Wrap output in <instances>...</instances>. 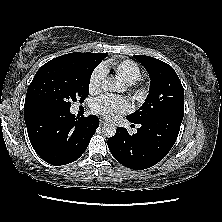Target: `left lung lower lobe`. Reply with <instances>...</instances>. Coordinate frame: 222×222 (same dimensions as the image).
I'll return each instance as SVG.
<instances>
[{"mask_svg":"<svg viewBox=\"0 0 222 222\" xmlns=\"http://www.w3.org/2000/svg\"><path fill=\"white\" fill-rule=\"evenodd\" d=\"M182 119L176 115H158L140 122L141 127L133 135L125 128H117L116 134L108 140L109 150L119 163L130 169L152 167L173 147Z\"/></svg>","mask_w":222,"mask_h":222,"instance_id":"left-lung-lower-lobe-1","label":"left lung lower lobe"}]
</instances>
